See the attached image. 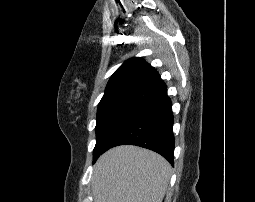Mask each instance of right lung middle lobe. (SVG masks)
Returning <instances> with one entry per match:
<instances>
[{"mask_svg":"<svg viewBox=\"0 0 255 202\" xmlns=\"http://www.w3.org/2000/svg\"><path fill=\"white\" fill-rule=\"evenodd\" d=\"M136 112L116 111L97 115L96 145L93 151V162L105 151L111 138L129 121Z\"/></svg>","mask_w":255,"mask_h":202,"instance_id":"obj_1","label":"right lung middle lobe"}]
</instances>
